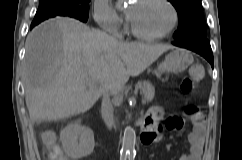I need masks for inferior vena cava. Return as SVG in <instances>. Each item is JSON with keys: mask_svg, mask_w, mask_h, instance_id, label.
Instances as JSON below:
<instances>
[{"mask_svg": "<svg viewBox=\"0 0 242 160\" xmlns=\"http://www.w3.org/2000/svg\"><path fill=\"white\" fill-rule=\"evenodd\" d=\"M101 116L109 129L115 126L114 108L110 100V91L107 86H103L102 88Z\"/></svg>", "mask_w": 242, "mask_h": 160, "instance_id": "602c4592", "label": "inferior vena cava"}]
</instances>
